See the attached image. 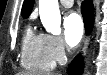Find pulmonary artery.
<instances>
[{"label": "pulmonary artery", "instance_id": "1", "mask_svg": "<svg viewBox=\"0 0 107 75\" xmlns=\"http://www.w3.org/2000/svg\"><path fill=\"white\" fill-rule=\"evenodd\" d=\"M60 3L66 7V8H70L73 5V0H60Z\"/></svg>", "mask_w": 107, "mask_h": 75}]
</instances>
